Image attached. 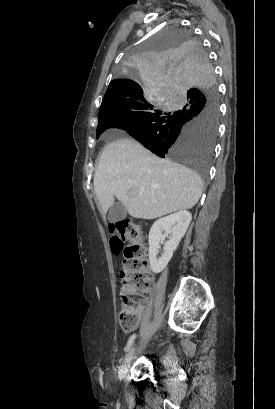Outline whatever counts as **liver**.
Listing matches in <instances>:
<instances>
[{
    "mask_svg": "<svg viewBox=\"0 0 275 409\" xmlns=\"http://www.w3.org/2000/svg\"><path fill=\"white\" fill-rule=\"evenodd\" d=\"M93 182L103 215L118 198L136 219L192 209L203 186L200 174L159 158L134 138H118L104 148Z\"/></svg>",
    "mask_w": 275,
    "mask_h": 409,
    "instance_id": "liver-1",
    "label": "liver"
}]
</instances>
